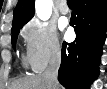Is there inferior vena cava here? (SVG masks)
I'll return each mask as SVG.
<instances>
[{
    "label": "inferior vena cava",
    "mask_w": 107,
    "mask_h": 89,
    "mask_svg": "<svg viewBox=\"0 0 107 89\" xmlns=\"http://www.w3.org/2000/svg\"><path fill=\"white\" fill-rule=\"evenodd\" d=\"M61 64V51L59 50L51 59L48 68L44 71L43 76L48 80L51 89H58V70Z\"/></svg>",
    "instance_id": "inferior-vena-cava-1"
}]
</instances>
